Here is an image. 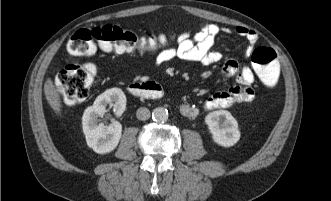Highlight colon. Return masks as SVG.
I'll list each match as a JSON object with an SVG mask.
<instances>
[{
  "instance_id": "obj_1",
  "label": "colon",
  "mask_w": 331,
  "mask_h": 201,
  "mask_svg": "<svg viewBox=\"0 0 331 201\" xmlns=\"http://www.w3.org/2000/svg\"><path fill=\"white\" fill-rule=\"evenodd\" d=\"M172 38V34L139 37L130 30L106 24L79 29L69 39L67 50L76 56L89 55L98 49L118 53L154 51L168 45ZM251 60L261 82L267 87H275L280 77V66L275 51L259 47L253 51ZM95 76L96 70L89 63L68 64L58 73L56 86L67 104H76L88 96Z\"/></svg>"
}]
</instances>
